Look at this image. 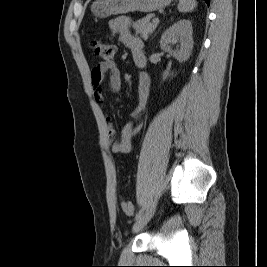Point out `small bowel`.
Segmentation results:
<instances>
[{"label":"small bowel","instance_id":"small-bowel-1","mask_svg":"<svg viewBox=\"0 0 267 267\" xmlns=\"http://www.w3.org/2000/svg\"><path fill=\"white\" fill-rule=\"evenodd\" d=\"M110 27L114 32L120 34L121 41L130 49L134 63L139 68H144L146 65V58L143 53V42L140 38L130 33V19L126 16L117 17L111 21ZM106 76L109 78V86L112 92L119 93L121 88V74L115 63L102 62L95 66L91 71V81L94 86V99L101 108H104L105 100L100 85ZM149 89V76L145 72H142L139 78V105L134 113L135 120L127 123L122 128L118 140L113 141L115 137V129L111 123V117L106 116V121L108 123V138L112 141L111 150L113 153H129L131 151L133 137L140 128L138 123L139 113L147 102Z\"/></svg>","mask_w":267,"mask_h":267}]
</instances>
